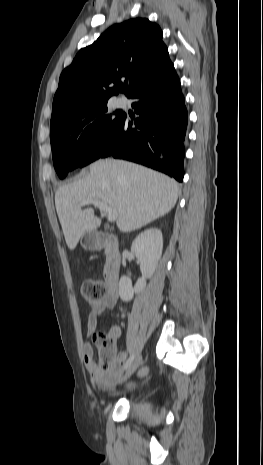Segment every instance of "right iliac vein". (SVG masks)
<instances>
[{
  "instance_id": "63e3f726",
  "label": "right iliac vein",
  "mask_w": 263,
  "mask_h": 465,
  "mask_svg": "<svg viewBox=\"0 0 263 465\" xmlns=\"http://www.w3.org/2000/svg\"><path fill=\"white\" fill-rule=\"evenodd\" d=\"M142 362V356L139 355L133 362L132 364L128 367L127 371L125 372L124 376L122 377L120 383L125 382L127 379H129L132 374L137 370V368L140 366Z\"/></svg>"
}]
</instances>
